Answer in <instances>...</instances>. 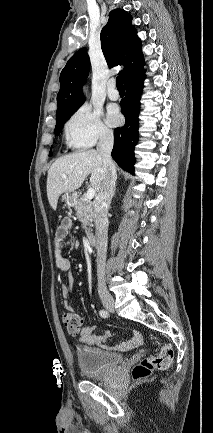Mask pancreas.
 I'll return each mask as SVG.
<instances>
[{
    "instance_id": "cf45deb5",
    "label": "pancreas",
    "mask_w": 213,
    "mask_h": 433,
    "mask_svg": "<svg viewBox=\"0 0 213 433\" xmlns=\"http://www.w3.org/2000/svg\"><path fill=\"white\" fill-rule=\"evenodd\" d=\"M75 215L82 223V228L85 229L87 236H92V222L94 219V211L92 204L84 197L78 199L74 203Z\"/></svg>"
}]
</instances>
